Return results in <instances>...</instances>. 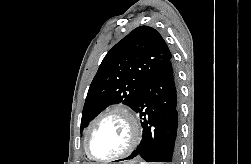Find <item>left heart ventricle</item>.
I'll list each match as a JSON object with an SVG mask.
<instances>
[{
	"label": "left heart ventricle",
	"instance_id": "b2bd125f",
	"mask_svg": "<svg viewBox=\"0 0 251 164\" xmlns=\"http://www.w3.org/2000/svg\"><path fill=\"white\" fill-rule=\"evenodd\" d=\"M129 140L127 121L119 114H112L102 119L95 128L90 140V151L96 158H108L122 152Z\"/></svg>",
	"mask_w": 251,
	"mask_h": 164
}]
</instances>
